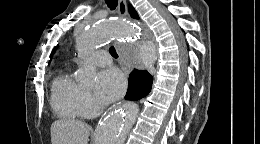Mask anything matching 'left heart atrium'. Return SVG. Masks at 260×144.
Wrapping results in <instances>:
<instances>
[{
  "label": "left heart atrium",
  "instance_id": "left-heart-atrium-1",
  "mask_svg": "<svg viewBox=\"0 0 260 144\" xmlns=\"http://www.w3.org/2000/svg\"><path fill=\"white\" fill-rule=\"evenodd\" d=\"M126 89L124 75L115 68L102 71L98 76L97 98L102 103H110L120 98Z\"/></svg>",
  "mask_w": 260,
  "mask_h": 144
}]
</instances>
